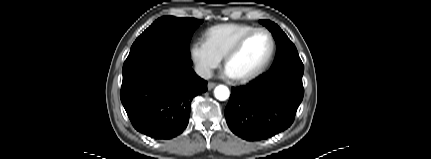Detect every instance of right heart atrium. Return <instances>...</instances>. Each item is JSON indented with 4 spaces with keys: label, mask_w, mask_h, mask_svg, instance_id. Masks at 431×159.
Returning a JSON list of instances; mask_svg holds the SVG:
<instances>
[{
    "label": "right heart atrium",
    "mask_w": 431,
    "mask_h": 159,
    "mask_svg": "<svg viewBox=\"0 0 431 159\" xmlns=\"http://www.w3.org/2000/svg\"><path fill=\"white\" fill-rule=\"evenodd\" d=\"M189 53L198 74L203 78H209L222 61V57L203 39L194 40Z\"/></svg>",
    "instance_id": "obj_1"
}]
</instances>
